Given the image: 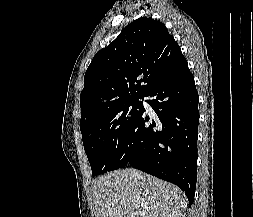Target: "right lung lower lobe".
<instances>
[{"mask_svg": "<svg viewBox=\"0 0 253 217\" xmlns=\"http://www.w3.org/2000/svg\"><path fill=\"white\" fill-rule=\"evenodd\" d=\"M146 97L158 116L145 109L117 153L111 170L127 164L180 187L193 203L197 181L198 93L186 59L156 83Z\"/></svg>", "mask_w": 253, "mask_h": 217, "instance_id": "right-lung-lower-lobe-1", "label": "right lung lower lobe"}]
</instances>
